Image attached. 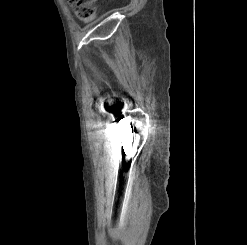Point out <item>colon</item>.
<instances>
[{
	"label": "colon",
	"mask_w": 247,
	"mask_h": 245,
	"mask_svg": "<svg viewBox=\"0 0 247 245\" xmlns=\"http://www.w3.org/2000/svg\"><path fill=\"white\" fill-rule=\"evenodd\" d=\"M76 16L83 22L92 21L97 14L98 0H67Z\"/></svg>",
	"instance_id": "colon-1"
}]
</instances>
